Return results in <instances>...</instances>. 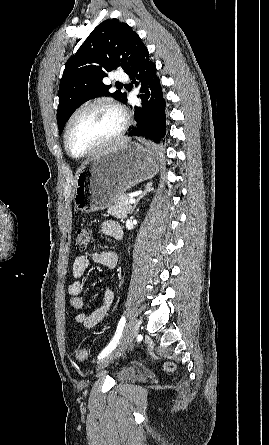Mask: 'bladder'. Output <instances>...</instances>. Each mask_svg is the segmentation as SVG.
I'll use <instances>...</instances> for the list:
<instances>
[{"label": "bladder", "mask_w": 269, "mask_h": 445, "mask_svg": "<svg viewBox=\"0 0 269 445\" xmlns=\"http://www.w3.org/2000/svg\"><path fill=\"white\" fill-rule=\"evenodd\" d=\"M135 373H136V369L133 367L121 369L118 372V379L127 380V379L131 378L132 376H134Z\"/></svg>", "instance_id": "1"}]
</instances>
